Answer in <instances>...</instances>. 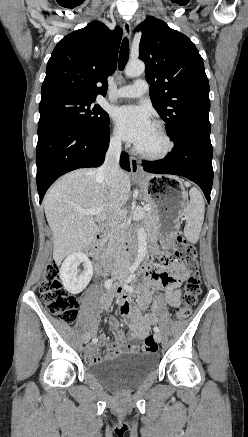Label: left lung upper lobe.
Instances as JSON below:
<instances>
[{
  "label": "left lung upper lobe",
  "instance_id": "1",
  "mask_svg": "<svg viewBox=\"0 0 248 437\" xmlns=\"http://www.w3.org/2000/svg\"><path fill=\"white\" fill-rule=\"evenodd\" d=\"M136 31H142L139 58L146 65L152 104L168 136L174 139L189 125L209 122V82L193 42L152 16Z\"/></svg>",
  "mask_w": 248,
  "mask_h": 437
}]
</instances>
